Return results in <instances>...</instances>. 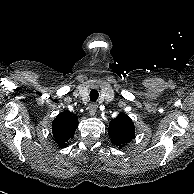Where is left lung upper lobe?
<instances>
[{"label":"left lung upper lobe","mask_w":194,"mask_h":194,"mask_svg":"<svg viewBox=\"0 0 194 194\" xmlns=\"http://www.w3.org/2000/svg\"><path fill=\"white\" fill-rule=\"evenodd\" d=\"M109 126V137L111 138L112 143L119 148L124 147L135 137L134 123L127 115L123 113L119 114L115 119H113Z\"/></svg>","instance_id":"left-lung-upper-lobe-1"}]
</instances>
